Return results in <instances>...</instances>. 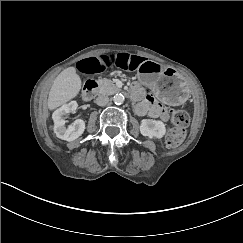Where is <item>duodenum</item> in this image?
Segmentation results:
<instances>
[{
  "label": "duodenum",
  "instance_id": "1",
  "mask_svg": "<svg viewBox=\"0 0 243 243\" xmlns=\"http://www.w3.org/2000/svg\"><path fill=\"white\" fill-rule=\"evenodd\" d=\"M97 89V83L94 80H88L86 84L84 85L83 91H82V98L85 101H89L93 98L95 92ZM130 98L132 100H138L140 98V95L136 91L130 92Z\"/></svg>",
  "mask_w": 243,
  "mask_h": 243
}]
</instances>
